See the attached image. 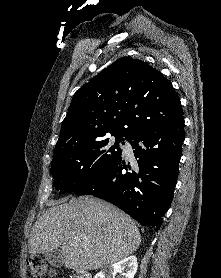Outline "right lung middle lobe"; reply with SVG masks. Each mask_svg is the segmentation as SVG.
Returning <instances> with one entry per match:
<instances>
[{"label":"right lung middle lobe","mask_w":221,"mask_h":278,"mask_svg":"<svg viewBox=\"0 0 221 278\" xmlns=\"http://www.w3.org/2000/svg\"><path fill=\"white\" fill-rule=\"evenodd\" d=\"M123 137H97L54 152L51 174L60 193L74 192L106 169L122 154ZM124 144V142H123Z\"/></svg>","instance_id":"dd1d6c3e"}]
</instances>
